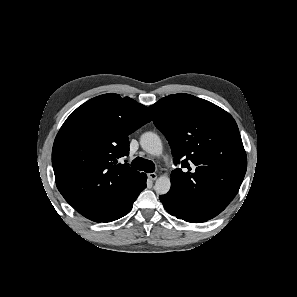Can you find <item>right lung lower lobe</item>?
Masks as SVG:
<instances>
[{"label": "right lung lower lobe", "instance_id": "1", "mask_svg": "<svg viewBox=\"0 0 297 297\" xmlns=\"http://www.w3.org/2000/svg\"><path fill=\"white\" fill-rule=\"evenodd\" d=\"M146 179V174H140L137 180L132 184L127 194L114 207V209L99 222H111L125 216L131 210L133 202L136 200L138 195L146 188Z\"/></svg>", "mask_w": 297, "mask_h": 297}]
</instances>
